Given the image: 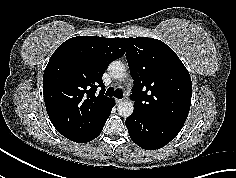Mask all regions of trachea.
Instances as JSON below:
<instances>
[{
  "label": "trachea",
  "mask_w": 236,
  "mask_h": 178,
  "mask_svg": "<svg viewBox=\"0 0 236 178\" xmlns=\"http://www.w3.org/2000/svg\"><path fill=\"white\" fill-rule=\"evenodd\" d=\"M106 95L110 96V97L114 96V97H116L118 99H122L123 92L121 90H119V89L114 90L113 87H109L107 89V91H106Z\"/></svg>",
  "instance_id": "trachea-1"
}]
</instances>
